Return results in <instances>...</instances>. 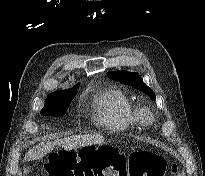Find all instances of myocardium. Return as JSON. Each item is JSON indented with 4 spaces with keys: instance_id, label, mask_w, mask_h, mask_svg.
<instances>
[{
    "instance_id": "obj_1",
    "label": "myocardium",
    "mask_w": 205,
    "mask_h": 176,
    "mask_svg": "<svg viewBox=\"0 0 205 176\" xmlns=\"http://www.w3.org/2000/svg\"><path fill=\"white\" fill-rule=\"evenodd\" d=\"M138 119L144 124H151L154 122V116L151 111L146 108L137 110Z\"/></svg>"
}]
</instances>
